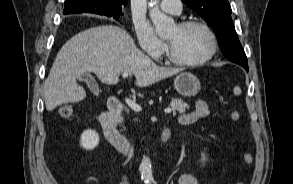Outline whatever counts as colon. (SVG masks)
<instances>
[{"label": "colon", "instance_id": "colon-1", "mask_svg": "<svg viewBox=\"0 0 293 184\" xmlns=\"http://www.w3.org/2000/svg\"><path fill=\"white\" fill-rule=\"evenodd\" d=\"M72 109L71 107L65 105L60 109V114L62 117H69L71 115ZM230 117L234 121H238L240 119V114L237 111H232ZM243 161L245 164H251L253 162V157L250 153L243 154ZM236 184H244L243 182H238Z\"/></svg>", "mask_w": 293, "mask_h": 184}]
</instances>
